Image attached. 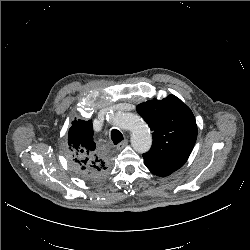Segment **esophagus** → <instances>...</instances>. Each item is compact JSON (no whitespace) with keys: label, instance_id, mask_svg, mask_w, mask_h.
I'll use <instances>...</instances> for the list:
<instances>
[{"label":"esophagus","instance_id":"esophagus-1","mask_svg":"<svg viewBox=\"0 0 250 250\" xmlns=\"http://www.w3.org/2000/svg\"><path fill=\"white\" fill-rule=\"evenodd\" d=\"M127 143H128V140H127V139L123 140L122 142H120V143L117 145V149H118V150L123 149V148L127 145Z\"/></svg>","mask_w":250,"mask_h":250}]
</instances>
